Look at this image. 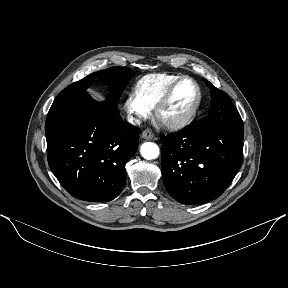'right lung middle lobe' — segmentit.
I'll return each instance as SVG.
<instances>
[{
	"label": "right lung middle lobe",
	"mask_w": 288,
	"mask_h": 288,
	"mask_svg": "<svg viewBox=\"0 0 288 288\" xmlns=\"http://www.w3.org/2000/svg\"><path fill=\"white\" fill-rule=\"evenodd\" d=\"M133 71L129 68L125 67H112L102 71H98L88 75L87 77L79 80L77 82L72 83L67 88H65L54 100L51 107L60 103L61 101L78 95L89 87V85L94 80H100L109 86L110 96L109 103L114 106L118 110V101L119 98L128 84V81L132 77Z\"/></svg>",
	"instance_id": "1"
}]
</instances>
